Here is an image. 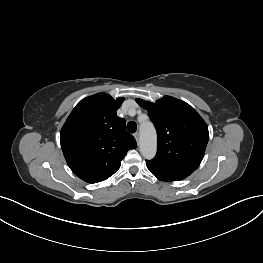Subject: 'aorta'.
<instances>
[{"instance_id":"1","label":"aorta","mask_w":263,"mask_h":263,"mask_svg":"<svg viewBox=\"0 0 263 263\" xmlns=\"http://www.w3.org/2000/svg\"><path fill=\"white\" fill-rule=\"evenodd\" d=\"M157 151L156 130L152 123L146 122L140 126V152L145 159L154 158Z\"/></svg>"}]
</instances>
